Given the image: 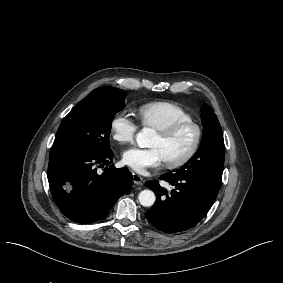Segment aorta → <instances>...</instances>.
Listing matches in <instances>:
<instances>
[{
  "label": "aorta",
  "mask_w": 283,
  "mask_h": 283,
  "mask_svg": "<svg viewBox=\"0 0 283 283\" xmlns=\"http://www.w3.org/2000/svg\"><path fill=\"white\" fill-rule=\"evenodd\" d=\"M154 135V130L150 128H143L142 131L137 133L136 141L139 147L145 148L150 147L151 139ZM138 200L144 207H151L154 205L156 196L152 190L146 189L139 193Z\"/></svg>",
  "instance_id": "1"
}]
</instances>
